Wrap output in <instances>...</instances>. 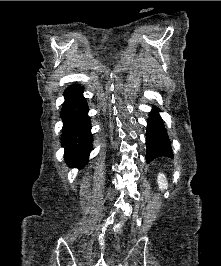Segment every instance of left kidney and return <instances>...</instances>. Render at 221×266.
Returning <instances> with one entry per match:
<instances>
[{
	"instance_id": "1",
	"label": "left kidney",
	"mask_w": 221,
	"mask_h": 266,
	"mask_svg": "<svg viewBox=\"0 0 221 266\" xmlns=\"http://www.w3.org/2000/svg\"><path fill=\"white\" fill-rule=\"evenodd\" d=\"M157 183H158L159 189L161 191H163L164 189H167V187H168L167 179L163 173H160L158 175Z\"/></svg>"
}]
</instances>
